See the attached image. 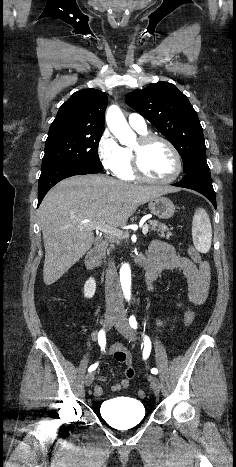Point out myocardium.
<instances>
[{
	"mask_svg": "<svg viewBox=\"0 0 236 467\" xmlns=\"http://www.w3.org/2000/svg\"><path fill=\"white\" fill-rule=\"evenodd\" d=\"M153 142L164 143L170 149V151L172 152L175 158V162H176L175 171L168 178H165V179L152 178L148 174H146V172L144 171L142 167L143 151ZM132 155H133V172L135 176L148 183H153V184L172 183L180 176L183 170L182 158L177 148L174 146V144L170 140L159 135L146 134V135L141 136L138 140L137 146L132 148Z\"/></svg>",
	"mask_w": 236,
	"mask_h": 467,
	"instance_id": "myocardium-1",
	"label": "myocardium"
}]
</instances>
